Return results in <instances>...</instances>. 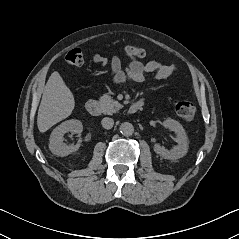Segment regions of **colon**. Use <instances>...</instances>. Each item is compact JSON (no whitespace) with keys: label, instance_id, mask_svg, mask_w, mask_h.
I'll return each instance as SVG.
<instances>
[{"label":"colon","instance_id":"5ec220e1","mask_svg":"<svg viewBox=\"0 0 239 239\" xmlns=\"http://www.w3.org/2000/svg\"><path fill=\"white\" fill-rule=\"evenodd\" d=\"M86 49L75 48L69 51L65 57L66 64L70 67H79L83 65L86 57ZM128 54L137 58H146L149 53L144 48L130 46L127 49ZM174 109L176 114L183 120L191 121L195 117L196 106L186 100H176L174 102Z\"/></svg>","mask_w":239,"mask_h":239}]
</instances>
